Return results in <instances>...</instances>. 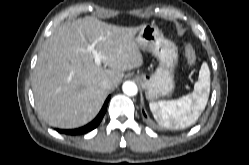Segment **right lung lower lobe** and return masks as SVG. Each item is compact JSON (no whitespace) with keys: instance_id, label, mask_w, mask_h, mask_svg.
I'll use <instances>...</instances> for the list:
<instances>
[{"instance_id":"obj_1","label":"right lung lower lobe","mask_w":249,"mask_h":165,"mask_svg":"<svg viewBox=\"0 0 249 165\" xmlns=\"http://www.w3.org/2000/svg\"><path fill=\"white\" fill-rule=\"evenodd\" d=\"M109 99H110V96L106 99V101H105L101 111L97 115V117L92 122L87 124L86 126H83L81 128H78V129H73V130L57 129V131L60 133H63V134H67V135H79V134H84V133H87V132L95 129L100 124L101 120L103 119V116H104L106 109H107Z\"/></svg>"}]
</instances>
